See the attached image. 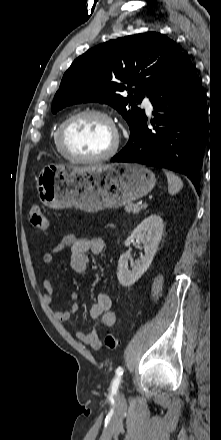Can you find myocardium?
Wrapping results in <instances>:
<instances>
[{
    "label": "myocardium",
    "instance_id": "obj_1",
    "mask_svg": "<svg viewBox=\"0 0 221 440\" xmlns=\"http://www.w3.org/2000/svg\"><path fill=\"white\" fill-rule=\"evenodd\" d=\"M85 116H97L105 119L112 127L114 132V141L112 146L103 154H100L98 156L93 157H83V156H76L72 154L65 143L66 138V132L69 128V126L77 119L85 117ZM57 144L60 153L67 158L68 160L76 163H93V162H100L107 160L111 157H113L116 152L118 151L119 144H120V133L119 130L112 118V116L107 113L106 111L100 110V109H84L81 111H78L68 118H66L61 125L59 126L58 132H57Z\"/></svg>",
    "mask_w": 221,
    "mask_h": 440
}]
</instances>
